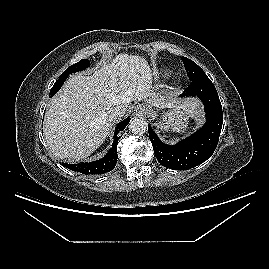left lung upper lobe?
Wrapping results in <instances>:
<instances>
[{
    "instance_id": "obj_1",
    "label": "left lung upper lobe",
    "mask_w": 269,
    "mask_h": 269,
    "mask_svg": "<svg viewBox=\"0 0 269 269\" xmlns=\"http://www.w3.org/2000/svg\"><path fill=\"white\" fill-rule=\"evenodd\" d=\"M181 59L191 82L200 78L207 77L204 71L195 62L186 57H182Z\"/></svg>"
}]
</instances>
